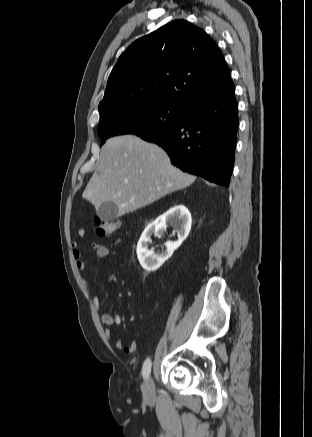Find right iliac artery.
Masks as SVG:
<instances>
[{"mask_svg":"<svg viewBox=\"0 0 312 437\" xmlns=\"http://www.w3.org/2000/svg\"><path fill=\"white\" fill-rule=\"evenodd\" d=\"M150 372H151V360L148 358L145 360L143 364V368H142L143 378L144 379L148 378Z\"/></svg>","mask_w":312,"mask_h":437,"instance_id":"82829eb1","label":"right iliac artery"}]
</instances>
